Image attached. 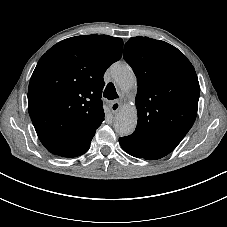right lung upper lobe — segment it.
<instances>
[{"instance_id":"cb5924a9","label":"right lung upper lobe","mask_w":227,"mask_h":227,"mask_svg":"<svg viewBox=\"0 0 227 227\" xmlns=\"http://www.w3.org/2000/svg\"><path fill=\"white\" fill-rule=\"evenodd\" d=\"M123 40L76 36L50 48L28 88V111L42 144L53 154L76 157L90 147L104 120L101 95L106 69L122 56Z\"/></svg>"}]
</instances>
